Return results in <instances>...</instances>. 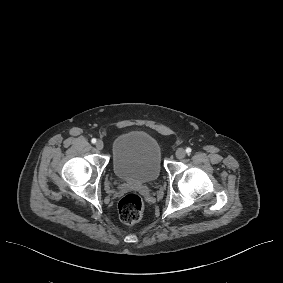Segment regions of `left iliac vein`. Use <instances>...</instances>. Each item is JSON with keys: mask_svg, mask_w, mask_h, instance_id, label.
<instances>
[{"mask_svg": "<svg viewBox=\"0 0 283 283\" xmlns=\"http://www.w3.org/2000/svg\"><path fill=\"white\" fill-rule=\"evenodd\" d=\"M175 155L178 159H183L186 156V151L183 148L176 150Z\"/></svg>", "mask_w": 283, "mask_h": 283, "instance_id": "obj_1", "label": "left iliac vein"}]
</instances>
